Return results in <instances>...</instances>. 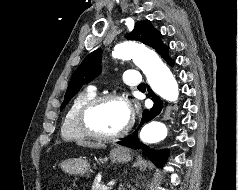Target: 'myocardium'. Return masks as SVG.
I'll return each instance as SVG.
<instances>
[{
	"label": "myocardium",
	"instance_id": "1",
	"mask_svg": "<svg viewBox=\"0 0 238 190\" xmlns=\"http://www.w3.org/2000/svg\"><path fill=\"white\" fill-rule=\"evenodd\" d=\"M110 100H118L126 104V106L129 109V119L126 125L118 132L106 134L94 128L91 122V117L95 112V110L100 105ZM133 123H134V115L130 109L128 100L124 95L115 92L96 95L82 107L78 115V126L82 131V133L86 135L88 138L100 141H112L123 137L130 131V129L133 126Z\"/></svg>",
	"mask_w": 238,
	"mask_h": 190
}]
</instances>
